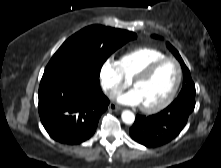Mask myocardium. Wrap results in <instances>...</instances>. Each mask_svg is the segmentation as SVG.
I'll list each match as a JSON object with an SVG mask.
<instances>
[{
	"label": "myocardium",
	"instance_id": "obj_1",
	"mask_svg": "<svg viewBox=\"0 0 221 168\" xmlns=\"http://www.w3.org/2000/svg\"><path fill=\"white\" fill-rule=\"evenodd\" d=\"M174 62L175 65L177 66V71H178V75H177V80L176 83L173 87V89L171 90V92L169 93V95L160 103L153 105V106H141L142 110L144 112L147 113H156L159 112L163 109H165L167 106H169L173 100L175 99L179 88L181 86L182 83V79H183V70H182V66L180 64V62L174 58V57H164L161 59H158L154 62H152L151 64H149L146 68H144L141 72H139L131 81V84L134 88V86L141 82L146 80L160 65H162L165 62Z\"/></svg>",
	"mask_w": 221,
	"mask_h": 168
}]
</instances>
